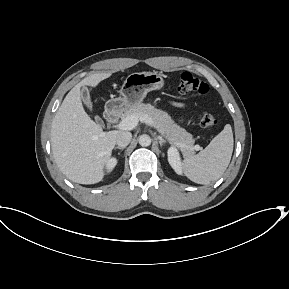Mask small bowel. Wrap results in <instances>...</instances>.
Returning <instances> with one entry per match:
<instances>
[{"mask_svg": "<svg viewBox=\"0 0 289 289\" xmlns=\"http://www.w3.org/2000/svg\"><path fill=\"white\" fill-rule=\"evenodd\" d=\"M174 105L177 106V107H181L182 106L181 103H174Z\"/></svg>", "mask_w": 289, "mask_h": 289, "instance_id": "c3829d8e", "label": "small bowel"}]
</instances>
